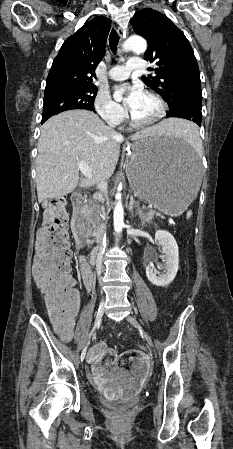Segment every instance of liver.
<instances>
[{
    "mask_svg": "<svg viewBox=\"0 0 233 449\" xmlns=\"http://www.w3.org/2000/svg\"><path fill=\"white\" fill-rule=\"evenodd\" d=\"M179 119H165L131 136L136 141L153 134H174ZM124 138L95 113L70 110L48 119L42 126L36 158L38 201L60 198L79 187L110 178L116 168ZM77 161L88 164L92 177H79Z\"/></svg>",
    "mask_w": 233,
    "mask_h": 449,
    "instance_id": "1",
    "label": "liver"
}]
</instances>
